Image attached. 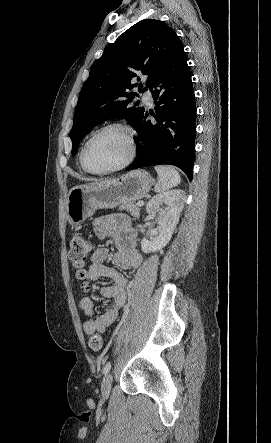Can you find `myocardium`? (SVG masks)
Listing matches in <instances>:
<instances>
[{
    "mask_svg": "<svg viewBox=\"0 0 271 443\" xmlns=\"http://www.w3.org/2000/svg\"><path fill=\"white\" fill-rule=\"evenodd\" d=\"M120 129L122 131H124L126 133L127 139H128V143H129V151L128 154L126 156V158L119 164L107 168V169H95L92 168L86 160V151H87V147L89 146V144L91 143V141L97 137L99 134H101L102 132L108 130V129ZM138 140H137V135L136 132L134 130V128H132L130 125L123 123V122H111L108 123L102 127H100L99 129H97L94 133H92L87 140L84 142L81 151H80V161L82 164V167L89 173L92 174H109L112 172H116L118 170H121L125 167H127L129 164L132 163V161L135 159V157L137 156L138 153Z\"/></svg>",
    "mask_w": 271,
    "mask_h": 443,
    "instance_id": "1",
    "label": "myocardium"
}]
</instances>
